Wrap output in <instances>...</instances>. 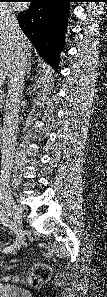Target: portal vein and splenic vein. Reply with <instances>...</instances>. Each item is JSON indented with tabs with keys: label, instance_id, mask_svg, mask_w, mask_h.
<instances>
[{
	"label": "portal vein and splenic vein",
	"instance_id": "18ae733b",
	"mask_svg": "<svg viewBox=\"0 0 107 297\" xmlns=\"http://www.w3.org/2000/svg\"><path fill=\"white\" fill-rule=\"evenodd\" d=\"M5 80V75L0 74V82H3Z\"/></svg>",
	"mask_w": 107,
	"mask_h": 297
}]
</instances>
